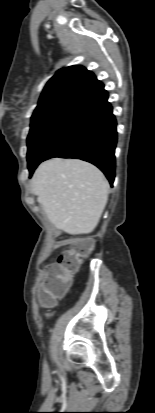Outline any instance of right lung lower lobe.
<instances>
[{
    "label": "right lung lower lobe",
    "mask_w": 155,
    "mask_h": 413,
    "mask_svg": "<svg viewBox=\"0 0 155 413\" xmlns=\"http://www.w3.org/2000/svg\"><path fill=\"white\" fill-rule=\"evenodd\" d=\"M116 142V120L108 93L102 89L78 105L66 129L40 162L53 157L88 161L96 165L112 185ZM38 164L29 168L30 175Z\"/></svg>",
    "instance_id": "right-lung-lower-lobe-1"
}]
</instances>
